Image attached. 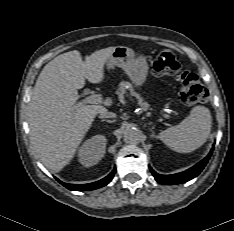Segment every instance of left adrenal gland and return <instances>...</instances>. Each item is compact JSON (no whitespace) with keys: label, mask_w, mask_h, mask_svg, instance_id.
I'll list each match as a JSON object with an SVG mask.
<instances>
[{"label":"left adrenal gland","mask_w":234,"mask_h":231,"mask_svg":"<svg viewBox=\"0 0 234 231\" xmlns=\"http://www.w3.org/2000/svg\"><path fill=\"white\" fill-rule=\"evenodd\" d=\"M150 131H151V137H152V138H158V137L155 135L154 131H153V127L150 128Z\"/></svg>","instance_id":"left-adrenal-gland-1"}]
</instances>
